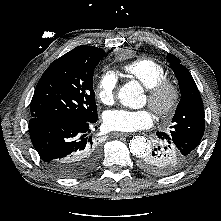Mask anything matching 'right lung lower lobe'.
<instances>
[{
  "instance_id": "obj_1",
  "label": "right lung lower lobe",
  "mask_w": 221,
  "mask_h": 221,
  "mask_svg": "<svg viewBox=\"0 0 221 221\" xmlns=\"http://www.w3.org/2000/svg\"><path fill=\"white\" fill-rule=\"evenodd\" d=\"M97 119L71 122L32 118L30 138L46 167L65 178L81 177L94 170L100 150L89 133Z\"/></svg>"
}]
</instances>
